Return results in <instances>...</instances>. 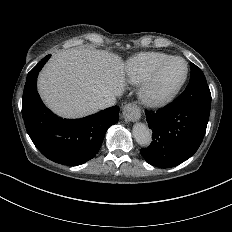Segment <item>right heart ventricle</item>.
<instances>
[{"instance_id":"e07e8e85","label":"right heart ventricle","mask_w":232,"mask_h":232,"mask_svg":"<svg viewBox=\"0 0 232 232\" xmlns=\"http://www.w3.org/2000/svg\"><path fill=\"white\" fill-rule=\"evenodd\" d=\"M172 56L162 52H141L127 58L120 70L122 83L139 86V84L159 65Z\"/></svg>"}]
</instances>
